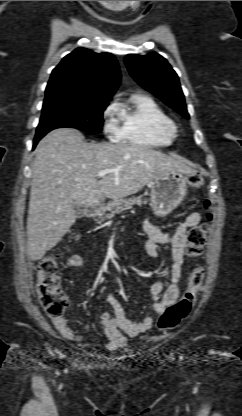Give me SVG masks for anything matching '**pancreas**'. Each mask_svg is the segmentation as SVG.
<instances>
[{"mask_svg": "<svg viewBox=\"0 0 242 416\" xmlns=\"http://www.w3.org/2000/svg\"><path fill=\"white\" fill-rule=\"evenodd\" d=\"M142 197H132L128 199H118L109 202L106 206L100 208L98 212V218L100 220L111 219L115 214L120 213L121 211L132 209L133 205H141L145 203L141 199Z\"/></svg>", "mask_w": 242, "mask_h": 416, "instance_id": "obj_1", "label": "pancreas"}]
</instances>
